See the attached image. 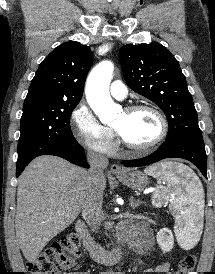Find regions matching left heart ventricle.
I'll return each mask as SVG.
<instances>
[{"mask_svg":"<svg viewBox=\"0 0 215 274\" xmlns=\"http://www.w3.org/2000/svg\"><path fill=\"white\" fill-rule=\"evenodd\" d=\"M113 127L125 140L135 145H144L154 140L160 132V122L156 115L148 110L132 113L122 111L113 123Z\"/></svg>","mask_w":215,"mask_h":274,"instance_id":"left-heart-ventricle-1","label":"left heart ventricle"}]
</instances>
